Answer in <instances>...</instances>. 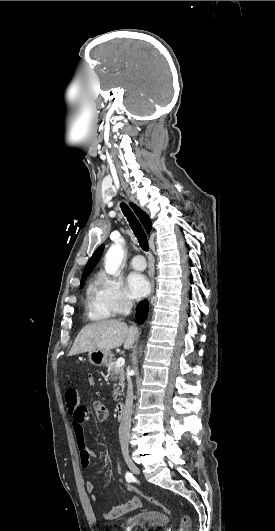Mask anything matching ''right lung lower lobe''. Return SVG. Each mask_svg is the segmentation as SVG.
Wrapping results in <instances>:
<instances>
[{"mask_svg": "<svg viewBox=\"0 0 275 531\" xmlns=\"http://www.w3.org/2000/svg\"><path fill=\"white\" fill-rule=\"evenodd\" d=\"M136 311H137L136 320L138 324L144 323V321L147 318V313H148V302L146 300L139 302V304L137 305Z\"/></svg>", "mask_w": 275, "mask_h": 531, "instance_id": "right-lung-lower-lobe-1", "label": "right lung lower lobe"}]
</instances>
